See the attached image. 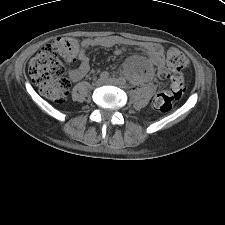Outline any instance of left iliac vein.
Listing matches in <instances>:
<instances>
[{"label": "left iliac vein", "mask_w": 225, "mask_h": 225, "mask_svg": "<svg viewBox=\"0 0 225 225\" xmlns=\"http://www.w3.org/2000/svg\"><path fill=\"white\" fill-rule=\"evenodd\" d=\"M106 83L113 84V85H118L119 84L118 79H116V78H108L106 80Z\"/></svg>", "instance_id": "left-iliac-vein-1"}]
</instances>
